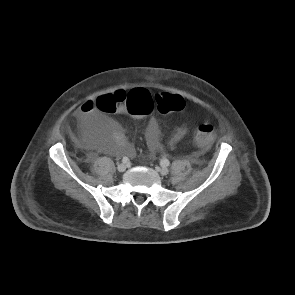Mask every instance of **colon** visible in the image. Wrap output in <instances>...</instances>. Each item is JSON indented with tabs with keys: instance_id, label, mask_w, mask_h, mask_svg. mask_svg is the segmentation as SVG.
Instances as JSON below:
<instances>
[{
	"instance_id": "colon-1",
	"label": "colon",
	"mask_w": 295,
	"mask_h": 295,
	"mask_svg": "<svg viewBox=\"0 0 295 295\" xmlns=\"http://www.w3.org/2000/svg\"><path fill=\"white\" fill-rule=\"evenodd\" d=\"M95 106L103 112L113 113L128 111V120L135 127H144L151 120V113L158 109L162 113L180 111L185 106L179 95L160 93L152 95L146 90L135 89L129 93L117 91L99 97ZM214 139V127L210 123H202L197 127L194 141L200 146H208Z\"/></svg>"
}]
</instances>
